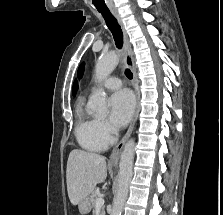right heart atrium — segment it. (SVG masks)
Instances as JSON below:
<instances>
[{
  "mask_svg": "<svg viewBox=\"0 0 223 215\" xmlns=\"http://www.w3.org/2000/svg\"><path fill=\"white\" fill-rule=\"evenodd\" d=\"M97 126L99 129V132L105 139L109 140L114 136L113 130L106 120L98 119Z\"/></svg>",
  "mask_w": 223,
  "mask_h": 215,
  "instance_id": "d8ad5b80",
  "label": "right heart atrium"
}]
</instances>
